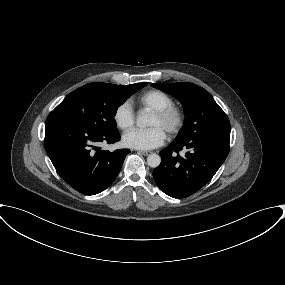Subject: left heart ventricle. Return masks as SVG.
I'll return each instance as SVG.
<instances>
[{"mask_svg": "<svg viewBox=\"0 0 285 285\" xmlns=\"http://www.w3.org/2000/svg\"><path fill=\"white\" fill-rule=\"evenodd\" d=\"M148 125L150 127H153V126H158L160 127L164 132H166V129L169 125V122H166V121H163L161 119H159L156 115H152L151 118H150V121L148 123Z\"/></svg>", "mask_w": 285, "mask_h": 285, "instance_id": "1", "label": "left heart ventricle"}]
</instances>
